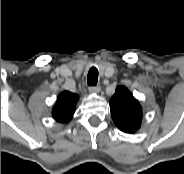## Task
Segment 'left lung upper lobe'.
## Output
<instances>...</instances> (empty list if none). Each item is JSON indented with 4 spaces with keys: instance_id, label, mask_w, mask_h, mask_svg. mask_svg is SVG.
Masks as SVG:
<instances>
[{
    "instance_id": "left-lung-upper-lobe-1",
    "label": "left lung upper lobe",
    "mask_w": 184,
    "mask_h": 174,
    "mask_svg": "<svg viewBox=\"0 0 184 174\" xmlns=\"http://www.w3.org/2000/svg\"><path fill=\"white\" fill-rule=\"evenodd\" d=\"M109 104L112 119L120 130L135 133L140 128L141 105L126 87L118 86Z\"/></svg>"
}]
</instances>
